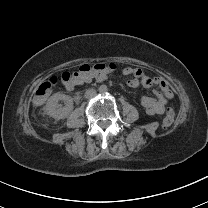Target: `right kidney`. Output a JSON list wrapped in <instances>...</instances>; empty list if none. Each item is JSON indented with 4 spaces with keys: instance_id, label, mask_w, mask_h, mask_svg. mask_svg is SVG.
<instances>
[{
    "instance_id": "obj_1",
    "label": "right kidney",
    "mask_w": 208,
    "mask_h": 208,
    "mask_svg": "<svg viewBox=\"0 0 208 208\" xmlns=\"http://www.w3.org/2000/svg\"><path fill=\"white\" fill-rule=\"evenodd\" d=\"M59 100L66 101L67 103L66 107L58 108ZM72 109H73L72 99L68 95L61 93H55L54 95H52L48 99L44 107L45 113L53 117L54 119L66 118L69 115V113L72 111Z\"/></svg>"
}]
</instances>
